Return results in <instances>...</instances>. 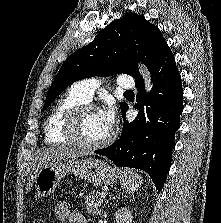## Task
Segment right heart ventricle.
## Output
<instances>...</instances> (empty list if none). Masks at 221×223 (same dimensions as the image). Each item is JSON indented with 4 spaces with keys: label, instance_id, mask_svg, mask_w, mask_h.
I'll return each mask as SVG.
<instances>
[{
    "label": "right heart ventricle",
    "instance_id": "obj_1",
    "mask_svg": "<svg viewBox=\"0 0 221 223\" xmlns=\"http://www.w3.org/2000/svg\"><path fill=\"white\" fill-rule=\"evenodd\" d=\"M83 103L87 101L72 89L58 98L44 123V139L47 143H68L63 134L65 117L72 108Z\"/></svg>",
    "mask_w": 221,
    "mask_h": 223
}]
</instances>
